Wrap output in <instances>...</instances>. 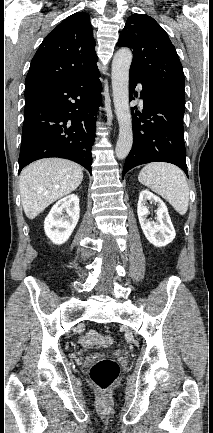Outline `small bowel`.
<instances>
[{
  "label": "small bowel",
  "mask_w": 213,
  "mask_h": 433,
  "mask_svg": "<svg viewBox=\"0 0 213 433\" xmlns=\"http://www.w3.org/2000/svg\"><path fill=\"white\" fill-rule=\"evenodd\" d=\"M80 344L84 347H98L103 346L102 336L95 331H90L80 337Z\"/></svg>",
  "instance_id": "obj_1"
}]
</instances>
